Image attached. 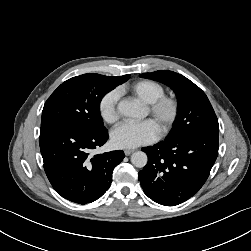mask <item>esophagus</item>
I'll return each instance as SVG.
<instances>
[{
    "instance_id": "obj_1",
    "label": "esophagus",
    "mask_w": 251,
    "mask_h": 251,
    "mask_svg": "<svg viewBox=\"0 0 251 251\" xmlns=\"http://www.w3.org/2000/svg\"><path fill=\"white\" fill-rule=\"evenodd\" d=\"M134 152V150H131V149H126V150H124V153H125V155H130V154H132Z\"/></svg>"
}]
</instances>
